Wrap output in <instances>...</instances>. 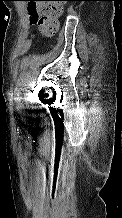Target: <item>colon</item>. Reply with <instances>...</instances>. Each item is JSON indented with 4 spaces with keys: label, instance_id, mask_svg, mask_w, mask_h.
I'll list each match as a JSON object with an SVG mask.
<instances>
[{
    "label": "colon",
    "instance_id": "1",
    "mask_svg": "<svg viewBox=\"0 0 122 218\" xmlns=\"http://www.w3.org/2000/svg\"><path fill=\"white\" fill-rule=\"evenodd\" d=\"M29 2V22L37 24L44 36H52L58 29V19L62 13L64 0H27ZM41 4V12H37L36 4Z\"/></svg>",
    "mask_w": 122,
    "mask_h": 218
}]
</instances>
